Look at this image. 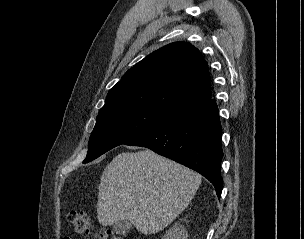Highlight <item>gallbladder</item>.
Returning a JSON list of instances; mask_svg holds the SVG:
<instances>
[{
    "mask_svg": "<svg viewBox=\"0 0 304 239\" xmlns=\"http://www.w3.org/2000/svg\"><path fill=\"white\" fill-rule=\"evenodd\" d=\"M132 228V223L127 220L115 222L113 224V230L118 235H126Z\"/></svg>",
    "mask_w": 304,
    "mask_h": 239,
    "instance_id": "1",
    "label": "gallbladder"
}]
</instances>
